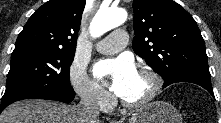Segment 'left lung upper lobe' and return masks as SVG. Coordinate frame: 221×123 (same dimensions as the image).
Wrapping results in <instances>:
<instances>
[{
	"label": "left lung upper lobe",
	"mask_w": 221,
	"mask_h": 123,
	"mask_svg": "<svg viewBox=\"0 0 221 123\" xmlns=\"http://www.w3.org/2000/svg\"><path fill=\"white\" fill-rule=\"evenodd\" d=\"M134 52L164 81L195 73L211 77L205 44L192 16L172 0H133Z\"/></svg>",
	"instance_id": "left-lung-upper-lobe-1"
}]
</instances>
